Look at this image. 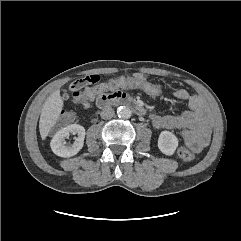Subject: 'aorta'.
<instances>
[{"mask_svg": "<svg viewBox=\"0 0 241 241\" xmlns=\"http://www.w3.org/2000/svg\"><path fill=\"white\" fill-rule=\"evenodd\" d=\"M117 114L120 118L128 119L131 117L132 111L128 107L120 106L117 110Z\"/></svg>", "mask_w": 241, "mask_h": 241, "instance_id": "1", "label": "aorta"}]
</instances>
